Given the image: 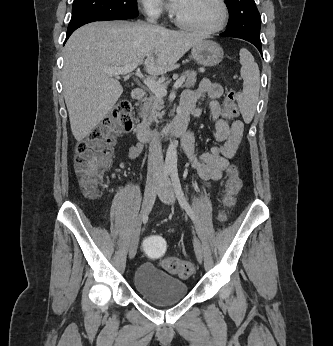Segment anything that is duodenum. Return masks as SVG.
<instances>
[{
	"instance_id": "1",
	"label": "duodenum",
	"mask_w": 333,
	"mask_h": 346,
	"mask_svg": "<svg viewBox=\"0 0 333 346\" xmlns=\"http://www.w3.org/2000/svg\"><path fill=\"white\" fill-rule=\"evenodd\" d=\"M146 92L143 88H135L132 92L134 100L140 101L144 99ZM189 119L186 116H179L169 125L163 128L159 137L168 139L173 137L185 138L189 135L188 129ZM135 134L141 142H149L153 140L154 133L143 123H139L135 128Z\"/></svg>"
}]
</instances>
